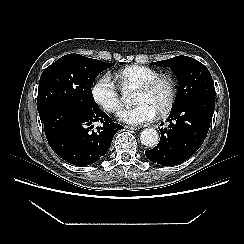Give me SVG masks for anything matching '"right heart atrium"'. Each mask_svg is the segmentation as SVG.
I'll return each instance as SVG.
<instances>
[{"label": "right heart atrium", "instance_id": "d8ad5b80", "mask_svg": "<svg viewBox=\"0 0 244 244\" xmlns=\"http://www.w3.org/2000/svg\"><path fill=\"white\" fill-rule=\"evenodd\" d=\"M91 95L94 102L104 111L113 113L121 107L120 92L109 76H101L92 86Z\"/></svg>", "mask_w": 244, "mask_h": 244}]
</instances>
